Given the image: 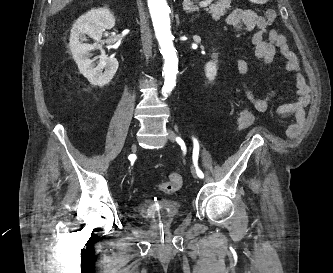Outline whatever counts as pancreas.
Segmentation results:
<instances>
[{"mask_svg": "<svg viewBox=\"0 0 333 273\" xmlns=\"http://www.w3.org/2000/svg\"><path fill=\"white\" fill-rule=\"evenodd\" d=\"M231 0H219L216 4H211L206 11L211 14L214 20H219L221 16H224L226 9H230Z\"/></svg>", "mask_w": 333, "mask_h": 273, "instance_id": "cf45deb5", "label": "pancreas"}]
</instances>
